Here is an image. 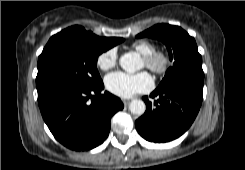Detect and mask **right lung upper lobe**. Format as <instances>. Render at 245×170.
Segmentation results:
<instances>
[{
	"label": "right lung upper lobe",
	"mask_w": 245,
	"mask_h": 170,
	"mask_svg": "<svg viewBox=\"0 0 245 170\" xmlns=\"http://www.w3.org/2000/svg\"><path fill=\"white\" fill-rule=\"evenodd\" d=\"M60 33L77 35V36H80L86 40L92 41V42L97 43V44L109 46V47H113V46L122 42V38H115V37L107 38V37L96 36L91 31H86L81 26H72V27H69V28L61 31Z\"/></svg>",
	"instance_id": "right-lung-upper-lobe-1"
}]
</instances>
